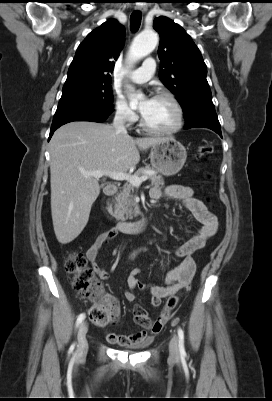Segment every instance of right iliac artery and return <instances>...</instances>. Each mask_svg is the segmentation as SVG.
<instances>
[{
    "mask_svg": "<svg viewBox=\"0 0 272 401\" xmlns=\"http://www.w3.org/2000/svg\"><path fill=\"white\" fill-rule=\"evenodd\" d=\"M84 319H85V314L81 313L77 318L76 327H78ZM74 346H75V344L71 348L73 349Z\"/></svg>",
    "mask_w": 272,
    "mask_h": 401,
    "instance_id": "right-iliac-artery-1",
    "label": "right iliac artery"
}]
</instances>
